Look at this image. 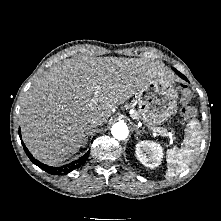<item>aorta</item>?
I'll list each match as a JSON object with an SVG mask.
<instances>
[{"mask_svg":"<svg viewBox=\"0 0 221 221\" xmlns=\"http://www.w3.org/2000/svg\"><path fill=\"white\" fill-rule=\"evenodd\" d=\"M111 133L114 138L118 140H125L128 137L129 130L125 123L118 122L112 126Z\"/></svg>","mask_w":221,"mask_h":221,"instance_id":"762f6f07","label":"aorta"}]
</instances>
